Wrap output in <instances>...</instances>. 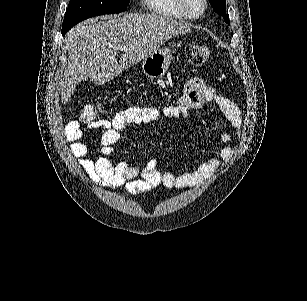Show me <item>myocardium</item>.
Wrapping results in <instances>:
<instances>
[{
  "instance_id": "myocardium-1",
  "label": "myocardium",
  "mask_w": 307,
  "mask_h": 301,
  "mask_svg": "<svg viewBox=\"0 0 307 301\" xmlns=\"http://www.w3.org/2000/svg\"><path fill=\"white\" fill-rule=\"evenodd\" d=\"M188 2L189 0H179L175 2V5L178 6V11L181 12V16L176 15V17H185L186 22H198L199 16H202V12L205 11L206 2L205 0H198V3L195 6L197 9L195 13L188 10L190 8Z\"/></svg>"
}]
</instances>
